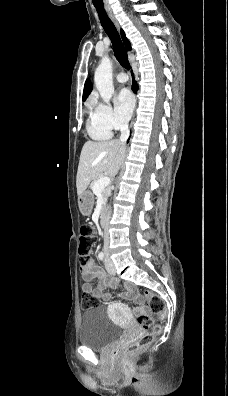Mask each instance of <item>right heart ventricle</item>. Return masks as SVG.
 <instances>
[{
	"mask_svg": "<svg viewBox=\"0 0 228 396\" xmlns=\"http://www.w3.org/2000/svg\"><path fill=\"white\" fill-rule=\"evenodd\" d=\"M87 131L94 140H107L111 137L112 131L104 128L93 116L92 109L90 111V118L87 123Z\"/></svg>",
	"mask_w": 228,
	"mask_h": 396,
	"instance_id": "right-heart-ventricle-1",
	"label": "right heart ventricle"
}]
</instances>
